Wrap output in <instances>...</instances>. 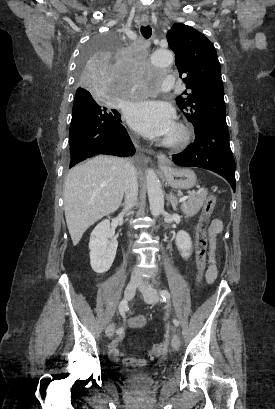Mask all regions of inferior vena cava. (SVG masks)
I'll return each mask as SVG.
<instances>
[{
  "label": "inferior vena cava",
  "instance_id": "inferior-vena-cava-1",
  "mask_svg": "<svg viewBox=\"0 0 275 409\" xmlns=\"http://www.w3.org/2000/svg\"><path fill=\"white\" fill-rule=\"evenodd\" d=\"M126 180H125V207L124 211H129L135 205V200H137L138 194V182L136 176L135 166L126 160ZM132 281H136V283H141L142 277H140V273L138 271H133V275L131 277Z\"/></svg>",
  "mask_w": 275,
  "mask_h": 409
}]
</instances>
